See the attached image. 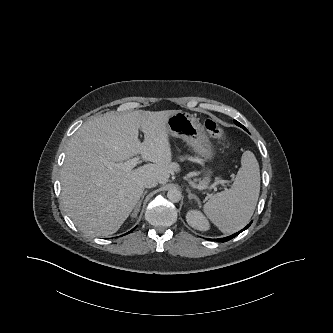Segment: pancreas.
<instances>
[{
	"label": "pancreas",
	"mask_w": 333,
	"mask_h": 333,
	"mask_svg": "<svg viewBox=\"0 0 333 333\" xmlns=\"http://www.w3.org/2000/svg\"><path fill=\"white\" fill-rule=\"evenodd\" d=\"M184 159H191L189 157H181L180 160H184ZM208 183L207 180L203 179V180H199V185L200 186H205Z\"/></svg>",
	"instance_id": "pancreas-1"
}]
</instances>
